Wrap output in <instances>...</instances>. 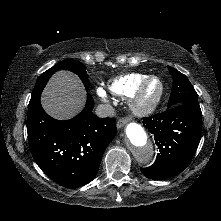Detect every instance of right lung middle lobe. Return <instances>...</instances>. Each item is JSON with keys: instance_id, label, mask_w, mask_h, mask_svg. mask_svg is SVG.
I'll return each instance as SVG.
<instances>
[{"instance_id": "right-lung-middle-lobe-1", "label": "right lung middle lobe", "mask_w": 221, "mask_h": 221, "mask_svg": "<svg viewBox=\"0 0 221 221\" xmlns=\"http://www.w3.org/2000/svg\"><path fill=\"white\" fill-rule=\"evenodd\" d=\"M59 69L70 70V71L74 72L75 74H77L80 77V79L84 83L86 90L89 89L90 81L88 79V74L86 73V66H84L82 63H80L76 60L66 59V60H63V61L57 63L55 66L48 69L47 71H45L44 73H42L39 76V78L35 84L29 104H32L40 96L43 88L45 87V85H46L47 81L49 80V78L51 77V75Z\"/></svg>"}]
</instances>
